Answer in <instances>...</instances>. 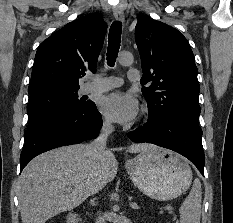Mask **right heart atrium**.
<instances>
[{
	"instance_id": "d8ad5b80",
	"label": "right heart atrium",
	"mask_w": 233,
	"mask_h": 223,
	"mask_svg": "<svg viewBox=\"0 0 233 223\" xmlns=\"http://www.w3.org/2000/svg\"><path fill=\"white\" fill-rule=\"evenodd\" d=\"M102 125H103V128L106 130L113 129V123L109 119H104Z\"/></svg>"
}]
</instances>
